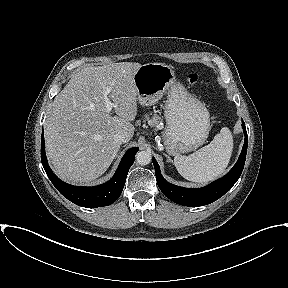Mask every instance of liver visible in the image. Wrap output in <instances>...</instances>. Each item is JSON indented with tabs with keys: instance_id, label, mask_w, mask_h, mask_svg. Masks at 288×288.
<instances>
[{
	"instance_id": "6515ba94",
	"label": "liver",
	"mask_w": 288,
	"mask_h": 288,
	"mask_svg": "<svg viewBox=\"0 0 288 288\" xmlns=\"http://www.w3.org/2000/svg\"><path fill=\"white\" fill-rule=\"evenodd\" d=\"M136 62L90 66L72 76L54 98L45 121L46 154L55 174L69 183H89L101 176L116 157L121 134L130 141L137 115ZM116 105L106 111L103 92Z\"/></svg>"
}]
</instances>
